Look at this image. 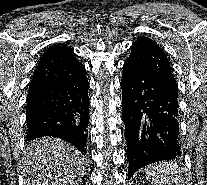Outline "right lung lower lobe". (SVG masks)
<instances>
[{
    "label": "right lung lower lobe",
    "instance_id": "obj_1",
    "mask_svg": "<svg viewBox=\"0 0 207 185\" xmlns=\"http://www.w3.org/2000/svg\"><path fill=\"white\" fill-rule=\"evenodd\" d=\"M88 80L77 77L27 96L26 141L43 136L64 139L85 153L89 122Z\"/></svg>",
    "mask_w": 207,
    "mask_h": 185
}]
</instances>
